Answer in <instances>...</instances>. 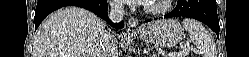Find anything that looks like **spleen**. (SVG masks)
Instances as JSON below:
<instances>
[{"label": "spleen", "instance_id": "obj_1", "mask_svg": "<svg viewBox=\"0 0 249 57\" xmlns=\"http://www.w3.org/2000/svg\"><path fill=\"white\" fill-rule=\"evenodd\" d=\"M186 27L191 41L204 52V57H216V49L211 34L194 19L186 18L182 22Z\"/></svg>", "mask_w": 249, "mask_h": 57}]
</instances>
